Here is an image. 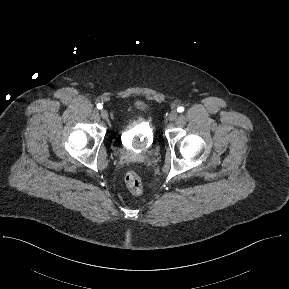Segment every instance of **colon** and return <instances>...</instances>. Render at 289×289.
Segmentation results:
<instances>
[{"instance_id":"obj_1","label":"colon","mask_w":289,"mask_h":289,"mask_svg":"<svg viewBox=\"0 0 289 289\" xmlns=\"http://www.w3.org/2000/svg\"><path fill=\"white\" fill-rule=\"evenodd\" d=\"M137 108L144 109L145 105L143 103H137ZM150 132V128L145 126V130L143 132V136H146V134ZM125 142V141H124ZM126 143V142H125ZM128 146V145H126ZM129 147L132 148L130 145ZM124 182L126 184V187L133 195H141L143 192V184L140 176L135 171H127L124 175Z\"/></svg>"}]
</instances>
